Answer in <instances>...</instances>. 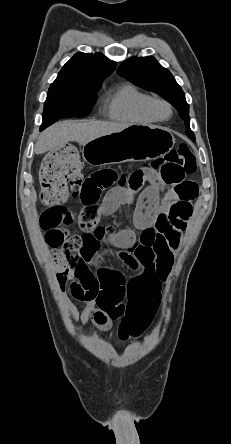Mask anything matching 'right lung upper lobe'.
Listing matches in <instances>:
<instances>
[{
    "mask_svg": "<svg viewBox=\"0 0 231 444\" xmlns=\"http://www.w3.org/2000/svg\"><path fill=\"white\" fill-rule=\"evenodd\" d=\"M115 68L116 63L101 53L79 52L63 66L49 90H96Z\"/></svg>",
    "mask_w": 231,
    "mask_h": 444,
    "instance_id": "right-lung-upper-lobe-1",
    "label": "right lung upper lobe"
}]
</instances>
